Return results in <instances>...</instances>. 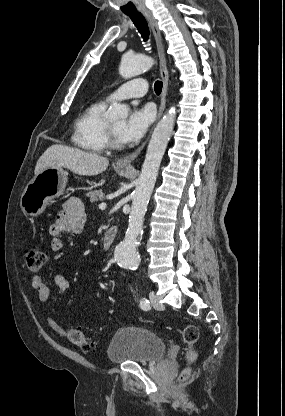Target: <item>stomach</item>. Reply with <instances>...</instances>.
Masks as SVG:
<instances>
[{"mask_svg": "<svg viewBox=\"0 0 285 416\" xmlns=\"http://www.w3.org/2000/svg\"><path fill=\"white\" fill-rule=\"evenodd\" d=\"M120 170V168H119ZM67 172L62 168H47L27 184L20 200L25 216H39L55 198L63 194L68 182Z\"/></svg>", "mask_w": 285, "mask_h": 416, "instance_id": "stomach-1", "label": "stomach"}]
</instances>
